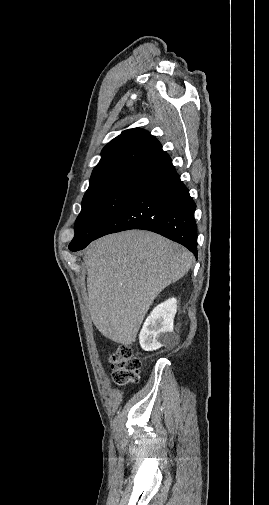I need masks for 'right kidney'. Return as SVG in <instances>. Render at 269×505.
<instances>
[{
	"label": "right kidney",
	"instance_id": "1",
	"mask_svg": "<svg viewBox=\"0 0 269 505\" xmlns=\"http://www.w3.org/2000/svg\"><path fill=\"white\" fill-rule=\"evenodd\" d=\"M177 300L169 299L156 306L145 320L139 334L140 345L145 351H153L173 341V323Z\"/></svg>",
	"mask_w": 269,
	"mask_h": 505
}]
</instances>
